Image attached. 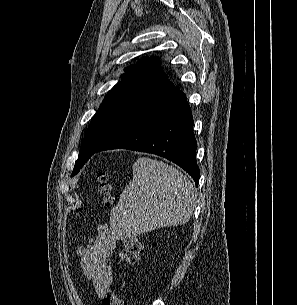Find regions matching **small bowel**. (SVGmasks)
Instances as JSON below:
<instances>
[{
	"mask_svg": "<svg viewBox=\"0 0 297 305\" xmlns=\"http://www.w3.org/2000/svg\"><path fill=\"white\" fill-rule=\"evenodd\" d=\"M118 241L117 235L107 225H101L98 233L86 245L77 249L81 268L90 283L95 298L102 299L114 284L110 257Z\"/></svg>",
	"mask_w": 297,
	"mask_h": 305,
	"instance_id": "obj_1",
	"label": "small bowel"
}]
</instances>
